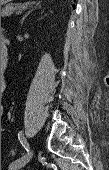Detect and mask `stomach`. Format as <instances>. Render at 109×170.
Returning <instances> with one entry per match:
<instances>
[{
  "label": "stomach",
  "instance_id": "0dacf381",
  "mask_svg": "<svg viewBox=\"0 0 109 170\" xmlns=\"http://www.w3.org/2000/svg\"><path fill=\"white\" fill-rule=\"evenodd\" d=\"M12 0H1V5H6L7 3H10Z\"/></svg>",
  "mask_w": 109,
  "mask_h": 170
}]
</instances>
